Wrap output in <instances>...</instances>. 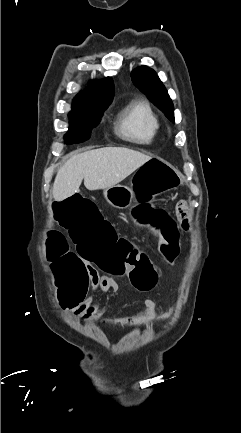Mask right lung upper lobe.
<instances>
[{"label":"right lung upper lobe","mask_w":241,"mask_h":433,"mask_svg":"<svg viewBox=\"0 0 241 433\" xmlns=\"http://www.w3.org/2000/svg\"><path fill=\"white\" fill-rule=\"evenodd\" d=\"M114 95V85L111 78L103 81H93L86 91L76 95L74 104H86L98 107L108 106Z\"/></svg>","instance_id":"right-lung-upper-lobe-1"}]
</instances>
